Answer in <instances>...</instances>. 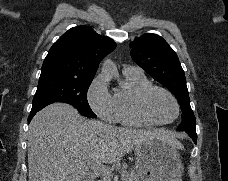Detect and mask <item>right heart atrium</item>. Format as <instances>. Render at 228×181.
<instances>
[{
  "instance_id": "1",
  "label": "right heart atrium",
  "mask_w": 228,
  "mask_h": 181,
  "mask_svg": "<svg viewBox=\"0 0 228 181\" xmlns=\"http://www.w3.org/2000/svg\"><path fill=\"white\" fill-rule=\"evenodd\" d=\"M88 100L93 111L101 119L107 122L116 120L114 99L106 88V81L103 76L94 80L88 93Z\"/></svg>"
}]
</instances>
